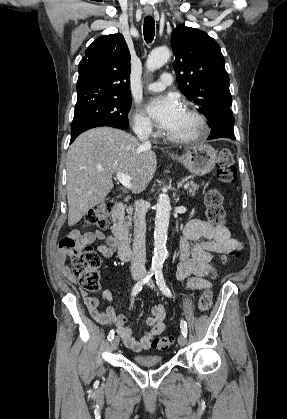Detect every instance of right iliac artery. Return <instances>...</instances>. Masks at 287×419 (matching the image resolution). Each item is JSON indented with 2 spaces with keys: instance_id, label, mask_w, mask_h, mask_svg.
I'll return each mask as SVG.
<instances>
[{
  "instance_id": "82829eb1",
  "label": "right iliac artery",
  "mask_w": 287,
  "mask_h": 419,
  "mask_svg": "<svg viewBox=\"0 0 287 419\" xmlns=\"http://www.w3.org/2000/svg\"><path fill=\"white\" fill-rule=\"evenodd\" d=\"M154 273H155L154 270H150L144 278H142L139 282H137L132 289L131 295L132 296L137 295L141 291L143 285L149 281V279L154 275ZM107 338H108V341H111L114 338V330H111L109 332Z\"/></svg>"
}]
</instances>
